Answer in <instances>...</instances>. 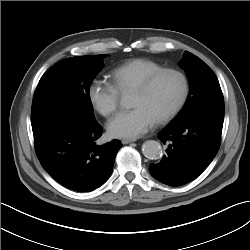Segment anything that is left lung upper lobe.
Masks as SVG:
<instances>
[{"mask_svg":"<svg viewBox=\"0 0 250 250\" xmlns=\"http://www.w3.org/2000/svg\"><path fill=\"white\" fill-rule=\"evenodd\" d=\"M179 64L189 76L190 93L183 109L173 122L182 120L211 105L224 103L216 75L200 58L185 51Z\"/></svg>","mask_w":250,"mask_h":250,"instance_id":"5c2ea615","label":"left lung upper lobe"}]
</instances>
